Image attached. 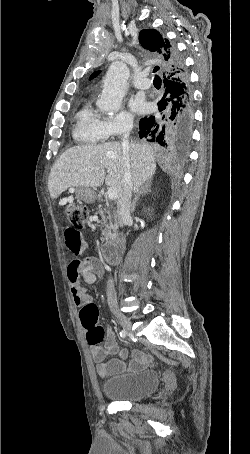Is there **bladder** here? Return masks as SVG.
Segmentation results:
<instances>
[{
	"label": "bladder",
	"instance_id": "obj_1",
	"mask_svg": "<svg viewBox=\"0 0 250 454\" xmlns=\"http://www.w3.org/2000/svg\"><path fill=\"white\" fill-rule=\"evenodd\" d=\"M160 381L157 370L146 369L104 380L102 392L105 397L115 401L136 402L153 394L159 388Z\"/></svg>",
	"mask_w": 250,
	"mask_h": 454
}]
</instances>
